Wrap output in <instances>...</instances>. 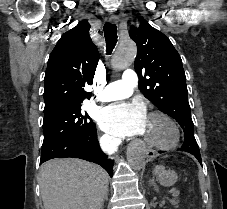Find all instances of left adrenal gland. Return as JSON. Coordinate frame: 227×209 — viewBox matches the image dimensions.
I'll use <instances>...</instances> for the list:
<instances>
[{
	"label": "left adrenal gland",
	"mask_w": 227,
	"mask_h": 209,
	"mask_svg": "<svg viewBox=\"0 0 227 209\" xmlns=\"http://www.w3.org/2000/svg\"><path fill=\"white\" fill-rule=\"evenodd\" d=\"M151 185H152V187H154V191H156V193H158V187L156 185L155 177H152Z\"/></svg>",
	"instance_id": "a2214340"
}]
</instances>
